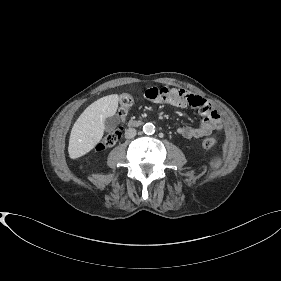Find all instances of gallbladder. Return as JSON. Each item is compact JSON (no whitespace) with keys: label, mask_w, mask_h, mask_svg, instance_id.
<instances>
[{"label":"gallbladder","mask_w":281,"mask_h":281,"mask_svg":"<svg viewBox=\"0 0 281 281\" xmlns=\"http://www.w3.org/2000/svg\"><path fill=\"white\" fill-rule=\"evenodd\" d=\"M120 123V118L117 115H113L105 119L104 126L106 131L114 130Z\"/></svg>","instance_id":"obj_1"}]
</instances>
